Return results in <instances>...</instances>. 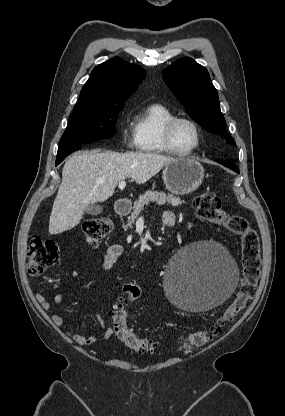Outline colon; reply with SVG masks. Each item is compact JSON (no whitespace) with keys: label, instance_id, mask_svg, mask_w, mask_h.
Returning a JSON list of instances; mask_svg holds the SVG:
<instances>
[{"label":"colon","instance_id":"5ec220e1","mask_svg":"<svg viewBox=\"0 0 285 416\" xmlns=\"http://www.w3.org/2000/svg\"><path fill=\"white\" fill-rule=\"evenodd\" d=\"M194 208L202 220L223 227L240 238L242 279L231 304L217 317L215 323L206 330L192 332L186 337L185 346L188 348L206 344L221 332L225 324L237 317L253 298L261 274L259 237L244 218L228 214L223 209L220 198L209 191L194 199ZM111 228L112 224L107 218H90L82 223L86 242L92 247L99 246ZM27 255L29 274L39 276L56 263L59 249L55 242L31 235ZM140 295L141 289L137 284L127 283L123 286V297L111 311L113 330L116 338L129 349L137 353H151L157 348L156 342L137 335L129 324V304L139 299Z\"/></svg>","mask_w":285,"mask_h":416}]
</instances>
